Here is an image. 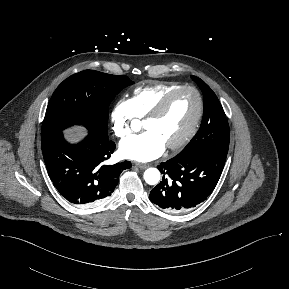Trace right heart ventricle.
I'll return each instance as SVG.
<instances>
[{
    "label": "right heart ventricle",
    "instance_id": "1",
    "mask_svg": "<svg viewBox=\"0 0 289 289\" xmlns=\"http://www.w3.org/2000/svg\"><path fill=\"white\" fill-rule=\"evenodd\" d=\"M180 86L174 82H158L135 88L130 99L135 118L144 119L170 91Z\"/></svg>",
    "mask_w": 289,
    "mask_h": 289
}]
</instances>
